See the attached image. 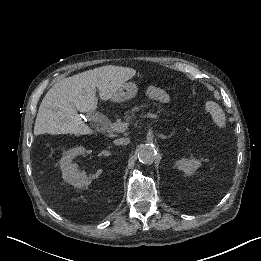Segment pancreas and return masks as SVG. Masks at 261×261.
<instances>
[{
	"instance_id": "pancreas-1",
	"label": "pancreas",
	"mask_w": 261,
	"mask_h": 261,
	"mask_svg": "<svg viewBox=\"0 0 261 261\" xmlns=\"http://www.w3.org/2000/svg\"><path fill=\"white\" fill-rule=\"evenodd\" d=\"M146 109V106L144 104H138L136 107L131 106L129 107L124 114L122 115V118L124 120H126L127 122H129L133 117H134V112H140V111H144Z\"/></svg>"
}]
</instances>
